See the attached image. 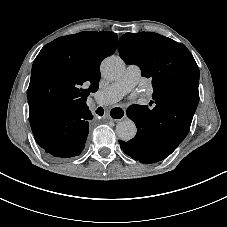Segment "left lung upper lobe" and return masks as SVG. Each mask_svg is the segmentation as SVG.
I'll use <instances>...</instances> for the list:
<instances>
[{"mask_svg": "<svg viewBox=\"0 0 227 227\" xmlns=\"http://www.w3.org/2000/svg\"><path fill=\"white\" fill-rule=\"evenodd\" d=\"M118 51L126 64H136L152 79L155 103L197 107L199 68L182 43L153 32L124 34Z\"/></svg>", "mask_w": 227, "mask_h": 227, "instance_id": "1", "label": "left lung upper lobe"}]
</instances>
